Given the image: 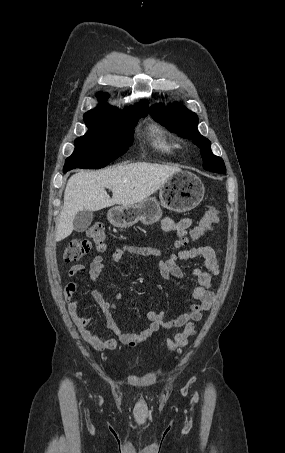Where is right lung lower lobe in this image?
I'll use <instances>...</instances> for the list:
<instances>
[{
    "label": "right lung lower lobe",
    "instance_id": "right-lung-lower-lobe-1",
    "mask_svg": "<svg viewBox=\"0 0 285 453\" xmlns=\"http://www.w3.org/2000/svg\"><path fill=\"white\" fill-rule=\"evenodd\" d=\"M63 171H64V172L69 171V168L64 167V168H63Z\"/></svg>",
    "mask_w": 285,
    "mask_h": 453
}]
</instances>
